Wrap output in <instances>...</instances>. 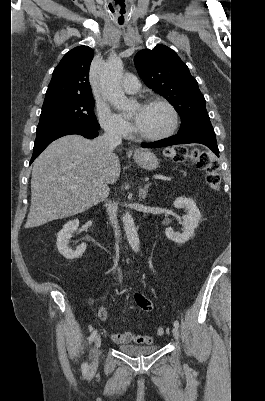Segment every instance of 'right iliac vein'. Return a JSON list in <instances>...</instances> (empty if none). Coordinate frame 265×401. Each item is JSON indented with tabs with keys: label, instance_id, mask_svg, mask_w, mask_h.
<instances>
[{
	"label": "right iliac vein",
	"instance_id": "obj_1",
	"mask_svg": "<svg viewBox=\"0 0 265 401\" xmlns=\"http://www.w3.org/2000/svg\"><path fill=\"white\" fill-rule=\"evenodd\" d=\"M101 346V336L97 335L94 341V348L98 350ZM98 367V359L96 353H93L90 358V363L88 365V372L89 374L93 373Z\"/></svg>",
	"mask_w": 265,
	"mask_h": 401
}]
</instances>
